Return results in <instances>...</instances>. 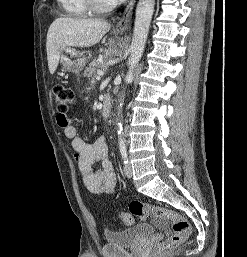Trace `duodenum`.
I'll return each instance as SVG.
<instances>
[{"instance_id":"1","label":"duodenum","mask_w":247,"mask_h":257,"mask_svg":"<svg viewBox=\"0 0 247 257\" xmlns=\"http://www.w3.org/2000/svg\"><path fill=\"white\" fill-rule=\"evenodd\" d=\"M110 114H111V102L108 98H106L101 108V115L103 118L107 119L109 118Z\"/></svg>"}]
</instances>
